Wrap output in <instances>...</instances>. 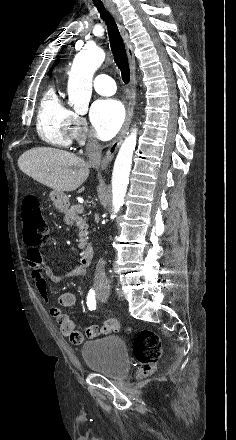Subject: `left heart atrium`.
<instances>
[{
	"instance_id": "39dd6f15",
	"label": "left heart atrium",
	"mask_w": 236,
	"mask_h": 440,
	"mask_svg": "<svg viewBox=\"0 0 236 440\" xmlns=\"http://www.w3.org/2000/svg\"><path fill=\"white\" fill-rule=\"evenodd\" d=\"M125 111L122 103L115 99H101L91 108V119L95 134L102 140L114 137L123 125Z\"/></svg>"
}]
</instances>
